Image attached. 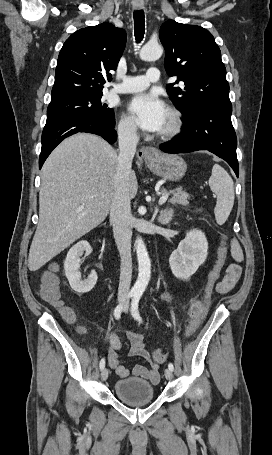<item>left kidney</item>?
<instances>
[{
    "instance_id": "1",
    "label": "left kidney",
    "mask_w": 272,
    "mask_h": 455,
    "mask_svg": "<svg viewBox=\"0 0 272 455\" xmlns=\"http://www.w3.org/2000/svg\"><path fill=\"white\" fill-rule=\"evenodd\" d=\"M207 254L208 242L205 234L198 229L190 230L170 255L172 273L179 279H189L205 262Z\"/></svg>"
}]
</instances>
